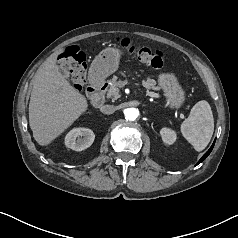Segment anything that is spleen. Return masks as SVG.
Returning a JSON list of instances; mask_svg holds the SVG:
<instances>
[{
    "label": "spleen",
    "mask_w": 238,
    "mask_h": 238,
    "mask_svg": "<svg viewBox=\"0 0 238 238\" xmlns=\"http://www.w3.org/2000/svg\"><path fill=\"white\" fill-rule=\"evenodd\" d=\"M180 130L196 151L204 150L214 132V118L209 103L205 100L197 102L188 118L182 122Z\"/></svg>",
    "instance_id": "1"
}]
</instances>
